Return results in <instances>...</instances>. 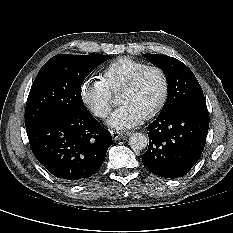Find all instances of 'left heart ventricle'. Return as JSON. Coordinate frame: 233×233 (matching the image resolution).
<instances>
[{
  "label": "left heart ventricle",
  "mask_w": 233,
  "mask_h": 233,
  "mask_svg": "<svg viewBox=\"0 0 233 233\" xmlns=\"http://www.w3.org/2000/svg\"><path fill=\"white\" fill-rule=\"evenodd\" d=\"M163 91V81L159 73L149 71L137 85L128 92L119 94V103L128 104L144 116L158 102Z\"/></svg>",
  "instance_id": "b2bd125f"
}]
</instances>
